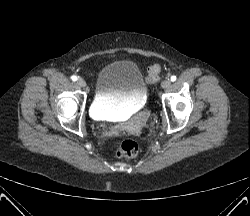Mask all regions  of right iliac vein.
Wrapping results in <instances>:
<instances>
[{
  "label": "right iliac vein",
  "instance_id": "63e3f726",
  "mask_svg": "<svg viewBox=\"0 0 250 216\" xmlns=\"http://www.w3.org/2000/svg\"><path fill=\"white\" fill-rule=\"evenodd\" d=\"M77 84H78L80 87H85V86H86V82H85V80L82 79V78H79V79L77 80Z\"/></svg>",
  "mask_w": 250,
  "mask_h": 216
}]
</instances>
